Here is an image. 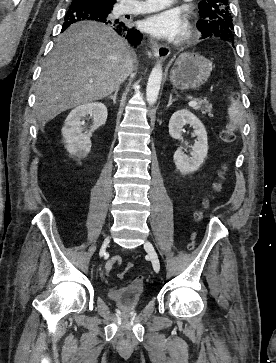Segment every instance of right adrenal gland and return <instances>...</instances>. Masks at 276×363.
<instances>
[{"label": "right adrenal gland", "mask_w": 276, "mask_h": 363, "mask_svg": "<svg viewBox=\"0 0 276 363\" xmlns=\"http://www.w3.org/2000/svg\"><path fill=\"white\" fill-rule=\"evenodd\" d=\"M118 91H119L118 89L115 90L114 95L109 96V98L113 100L114 104H116V98H117Z\"/></svg>", "instance_id": "2a0ac1e0"}]
</instances>
